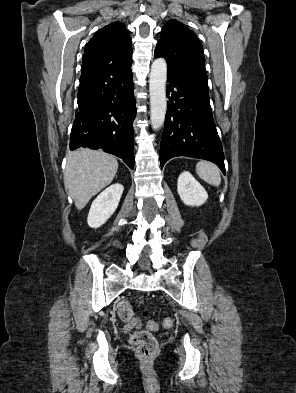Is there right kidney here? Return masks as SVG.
Segmentation results:
<instances>
[{
	"mask_svg": "<svg viewBox=\"0 0 296 393\" xmlns=\"http://www.w3.org/2000/svg\"><path fill=\"white\" fill-rule=\"evenodd\" d=\"M124 187L115 183L106 188L92 202L87 223L91 228L102 226L115 212L118 207Z\"/></svg>",
	"mask_w": 296,
	"mask_h": 393,
	"instance_id": "obj_1",
	"label": "right kidney"
}]
</instances>
